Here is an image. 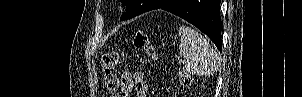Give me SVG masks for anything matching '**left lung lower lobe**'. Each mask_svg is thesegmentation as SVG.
I'll list each match as a JSON object with an SVG mask.
<instances>
[{"label":"left lung lower lobe","instance_id":"0a47b994","mask_svg":"<svg viewBox=\"0 0 302 97\" xmlns=\"http://www.w3.org/2000/svg\"><path fill=\"white\" fill-rule=\"evenodd\" d=\"M154 9H163L185 19L205 33L222 51L220 0H153L149 8L135 16Z\"/></svg>","mask_w":302,"mask_h":97}]
</instances>
